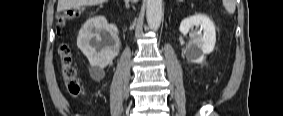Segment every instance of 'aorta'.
Here are the masks:
<instances>
[{
  "instance_id": "762f6f07",
  "label": "aorta",
  "mask_w": 283,
  "mask_h": 116,
  "mask_svg": "<svg viewBox=\"0 0 283 116\" xmlns=\"http://www.w3.org/2000/svg\"><path fill=\"white\" fill-rule=\"evenodd\" d=\"M162 15V0H147L146 18L150 30L157 31L159 29Z\"/></svg>"
}]
</instances>
